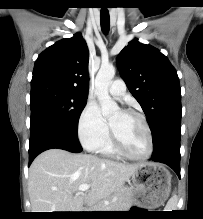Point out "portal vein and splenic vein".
<instances>
[{
    "label": "portal vein and splenic vein",
    "mask_w": 203,
    "mask_h": 219,
    "mask_svg": "<svg viewBox=\"0 0 203 219\" xmlns=\"http://www.w3.org/2000/svg\"><path fill=\"white\" fill-rule=\"evenodd\" d=\"M90 188L89 184H81L78 188L79 191L84 192Z\"/></svg>",
    "instance_id": "obj_1"
}]
</instances>
